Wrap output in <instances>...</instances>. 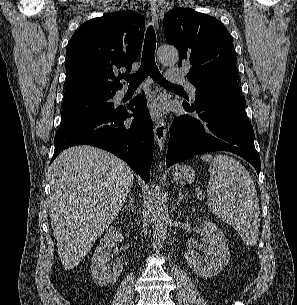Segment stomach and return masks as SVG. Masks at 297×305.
I'll return each mask as SVG.
<instances>
[{"label": "stomach", "mask_w": 297, "mask_h": 305, "mask_svg": "<svg viewBox=\"0 0 297 305\" xmlns=\"http://www.w3.org/2000/svg\"><path fill=\"white\" fill-rule=\"evenodd\" d=\"M172 179L181 185L190 184L195 180V171L189 165H177L173 169Z\"/></svg>", "instance_id": "stomach-1"}]
</instances>
